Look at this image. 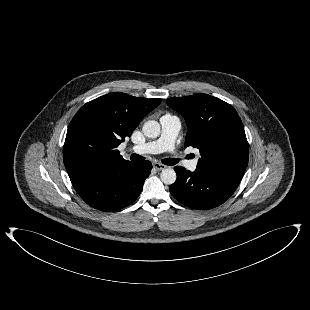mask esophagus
Masks as SVG:
<instances>
[{"instance_id":"obj_1","label":"esophagus","mask_w":310,"mask_h":310,"mask_svg":"<svg viewBox=\"0 0 310 310\" xmlns=\"http://www.w3.org/2000/svg\"><path fill=\"white\" fill-rule=\"evenodd\" d=\"M153 167L158 171H161L166 168L165 165L158 163V162L153 163Z\"/></svg>"}]
</instances>
